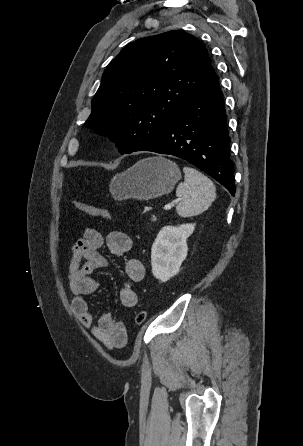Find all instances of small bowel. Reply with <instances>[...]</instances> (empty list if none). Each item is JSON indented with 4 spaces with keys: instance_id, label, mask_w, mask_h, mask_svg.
<instances>
[{
    "instance_id": "obj_1",
    "label": "small bowel",
    "mask_w": 303,
    "mask_h": 446,
    "mask_svg": "<svg viewBox=\"0 0 303 446\" xmlns=\"http://www.w3.org/2000/svg\"><path fill=\"white\" fill-rule=\"evenodd\" d=\"M106 244L109 251L116 256H124L132 247L131 237L122 231H112L106 238L95 228L88 227L73 244L68 263V285L73 295L72 310L82 325L102 342L108 349H121L127 344V330L124 324L113 315L104 313L97 318L91 313L87 297L98 289V281L93 272L108 264L100 252ZM126 281L120 290V302L125 308L137 304L134 284L145 277V265L137 258H128L125 263Z\"/></svg>"
}]
</instances>
